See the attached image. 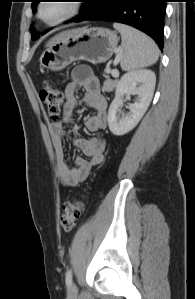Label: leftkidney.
<instances>
[{
	"instance_id": "1",
	"label": "left kidney",
	"mask_w": 195,
	"mask_h": 299,
	"mask_svg": "<svg viewBox=\"0 0 195 299\" xmlns=\"http://www.w3.org/2000/svg\"><path fill=\"white\" fill-rule=\"evenodd\" d=\"M155 83V73L147 69L131 71L121 77L108 110V126L114 135L122 136L139 123L150 105ZM124 95H137V100L127 106L129 113L120 117Z\"/></svg>"
}]
</instances>
